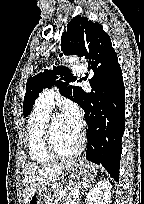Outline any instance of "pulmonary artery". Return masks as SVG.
I'll list each match as a JSON object with an SVG mask.
<instances>
[{
	"label": "pulmonary artery",
	"mask_w": 144,
	"mask_h": 204,
	"mask_svg": "<svg viewBox=\"0 0 144 204\" xmlns=\"http://www.w3.org/2000/svg\"><path fill=\"white\" fill-rule=\"evenodd\" d=\"M84 68H78L77 72L82 73L84 72ZM58 96V89L56 87H51L49 89L44 90L42 93H40L37 103L45 106L49 109H52L54 107L55 99Z\"/></svg>",
	"instance_id": "e3ab8cb5"
}]
</instances>
